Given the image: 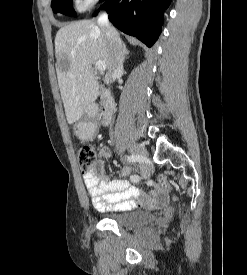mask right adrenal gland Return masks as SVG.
<instances>
[{"mask_svg": "<svg viewBox=\"0 0 247 275\" xmlns=\"http://www.w3.org/2000/svg\"><path fill=\"white\" fill-rule=\"evenodd\" d=\"M130 52L127 50L126 45L123 43V62L125 61L127 55H129Z\"/></svg>", "mask_w": 247, "mask_h": 275, "instance_id": "1", "label": "right adrenal gland"}]
</instances>
